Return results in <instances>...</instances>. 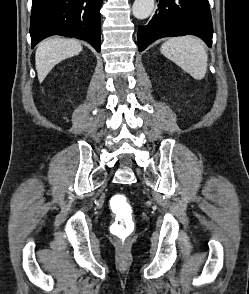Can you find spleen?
<instances>
[{
	"mask_svg": "<svg viewBox=\"0 0 249 294\" xmlns=\"http://www.w3.org/2000/svg\"><path fill=\"white\" fill-rule=\"evenodd\" d=\"M160 50L194 79L204 78L208 55L204 43L199 38L191 35L171 38L162 44Z\"/></svg>",
	"mask_w": 249,
	"mask_h": 294,
	"instance_id": "spleen-1",
	"label": "spleen"
}]
</instances>
